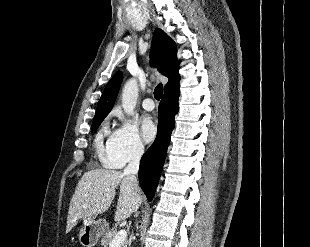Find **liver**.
Returning <instances> with one entry per match:
<instances>
[{
  "label": "liver",
  "mask_w": 310,
  "mask_h": 247,
  "mask_svg": "<svg viewBox=\"0 0 310 247\" xmlns=\"http://www.w3.org/2000/svg\"><path fill=\"white\" fill-rule=\"evenodd\" d=\"M118 186L120 194L115 221L125 220L141 205L143 199L138 184L118 170L93 169L86 172L70 201L66 231L69 232L79 219L86 220L107 211Z\"/></svg>",
  "instance_id": "1"
}]
</instances>
